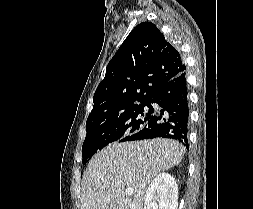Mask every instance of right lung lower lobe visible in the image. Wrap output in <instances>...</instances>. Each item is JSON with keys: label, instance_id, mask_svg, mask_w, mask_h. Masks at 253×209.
Returning a JSON list of instances; mask_svg holds the SVG:
<instances>
[{"label": "right lung lower lobe", "instance_id": "1", "mask_svg": "<svg viewBox=\"0 0 253 209\" xmlns=\"http://www.w3.org/2000/svg\"><path fill=\"white\" fill-rule=\"evenodd\" d=\"M151 103L161 109L154 110ZM152 117L137 133L126 141L152 139L156 137L175 139L188 148L189 106L185 71L167 82L149 102Z\"/></svg>", "mask_w": 253, "mask_h": 209}]
</instances>
